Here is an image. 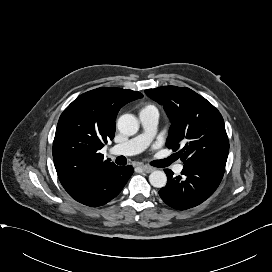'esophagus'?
I'll use <instances>...</instances> for the list:
<instances>
[{"mask_svg":"<svg viewBox=\"0 0 272 272\" xmlns=\"http://www.w3.org/2000/svg\"><path fill=\"white\" fill-rule=\"evenodd\" d=\"M140 168L145 173H150V172L154 171L153 167H150V166H147V165H141Z\"/></svg>","mask_w":272,"mask_h":272,"instance_id":"1","label":"esophagus"}]
</instances>
